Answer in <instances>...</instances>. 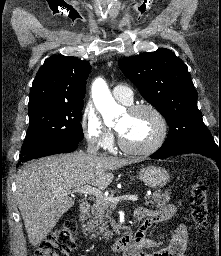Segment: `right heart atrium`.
I'll list each match as a JSON object with an SVG mask.
<instances>
[{
  "label": "right heart atrium",
  "instance_id": "d8ad5b80",
  "mask_svg": "<svg viewBox=\"0 0 221 256\" xmlns=\"http://www.w3.org/2000/svg\"><path fill=\"white\" fill-rule=\"evenodd\" d=\"M81 128L87 142L99 149H108L113 143V134L104 124L95 106L88 102L81 114Z\"/></svg>",
  "mask_w": 221,
  "mask_h": 256
}]
</instances>
